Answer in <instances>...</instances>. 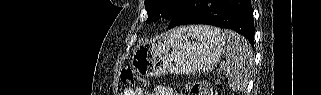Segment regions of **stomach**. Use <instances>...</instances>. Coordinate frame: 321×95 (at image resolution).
<instances>
[{"instance_id":"stomach-1","label":"stomach","mask_w":321,"mask_h":95,"mask_svg":"<svg viewBox=\"0 0 321 95\" xmlns=\"http://www.w3.org/2000/svg\"><path fill=\"white\" fill-rule=\"evenodd\" d=\"M223 51L224 42L217 36L204 34L200 29L178 28L138 45L133 51L131 65L146 77L209 72Z\"/></svg>"}]
</instances>
